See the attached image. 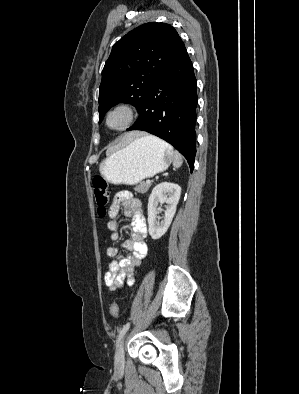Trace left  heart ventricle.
Instances as JSON below:
<instances>
[{
  "label": "left heart ventricle",
  "instance_id": "obj_1",
  "mask_svg": "<svg viewBox=\"0 0 299 394\" xmlns=\"http://www.w3.org/2000/svg\"><path fill=\"white\" fill-rule=\"evenodd\" d=\"M124 121V115L122 113H116L110 118V125L113 127L119 126Z\"/></svg>",
  "mask_w": 299,
  "mask_h": 394
}]
</instances>
